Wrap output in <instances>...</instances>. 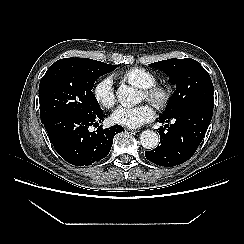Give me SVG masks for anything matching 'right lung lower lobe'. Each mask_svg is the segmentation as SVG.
Returning <instances> with one entry per match:
<instances>
[{"mask_svg": "<svg viewBox=\"0 0 244 244\" xmlns=\"http://www.w3.org/2000/svg\"><path fill=\"white\" fill-rule=\"evenodd\" d=\"M106 116L97 114L66 113L53 115L44 121L49 139L58 154L68 163L88 166L106 157L113 144V138L124 129L114 125L107 129L101 126L90 132V126L97 127Z\"/></svg>", "mask_w": 244, "mask_h": 244, "instance_id": "right-lung-lower-lobe-1", "label": "right lung lower lobe"}]
</instances>
